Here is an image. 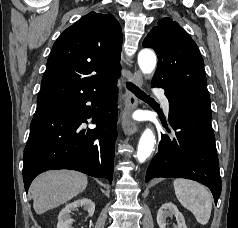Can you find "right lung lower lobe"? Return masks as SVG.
I'll list each match as a JSON object with an SVG mask.
<instances>
[{
  "label": "right lung lower lobe",
  "mask_w": 238,
  "mask_h": 228,
  "mask_svg": "<svg viewBox=\"0 0 238 228\" xmlns=\"http://www.w3.org/2000/svg\"><path fill=\"white\" fill-rule=\"evenodd\" d=\"M116 102L117 92L112 85L103 91L37 109L24 149L26 192L38 174L51 169H73L111 183L117 138ZM91 117L97 128L87 129L85 123Z\"/></svg>",
  "instance_id": "right-lung-lower-lobe-1"
}]
</instances>
